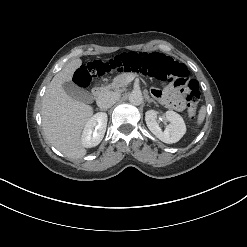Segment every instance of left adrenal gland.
I'll return each instance as SVG.
<instances>
[{"mask_svg": "<svg viewBox=\"0 0 247 247\" xmlns=\"http://www.w3.org/2000/svg\"><path fill=\"white\" fill-rule=\"evenodd\" d=\"M147 102H148V103L153 102L154 104H156V105H157L156 101H155V100H153V99H151L149 96H147Z\"/></svg>", "mask_w": 247, "mask_h": 247, "instance_id": "obj_1", "label": "left adrenal gland"}]
</instances>
